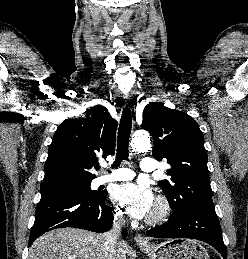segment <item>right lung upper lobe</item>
<instances>
[{"mask_svg": "<svg viewBox=\"0 0 248 259\" xmlns=\"http://www.w3.org/2000/svg\"><path fill=\"white\" fill-rule=\"evenodd\" d=\"M86 113V118L65 120L57 128L42 184L92 180L95 175L91 169L96 167L98 157L106 158L113 152L117 122L101 105Z\"/></svg>", "mask_w": 248, "mask_h": 259, "instance_id": "1", "label": "right lung upper lobe"}]
</instances>
